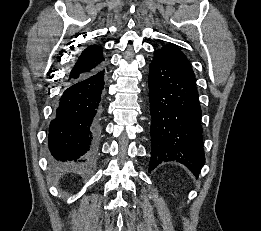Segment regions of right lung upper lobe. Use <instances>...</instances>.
I'll list each match as a JSON object with an SVG mask.
<instances>
[{
  "label": "right lung upper lobe",
  "mask_w": 261,
  "mask_h": 231,
  "mask_svg": "<svg viewBox=\"0 0 261 231\" xmlns=\"http://www.w3.org/2000/svg\"><path fill=\"white\" fill-rule=\"evenodd\" d=\"M104 60L102 47L90 45L79 55L66 81L71 82L91 74L104 65Z\"/></svg>",
  "instance_id": "obj_1"
}]
</instances>
